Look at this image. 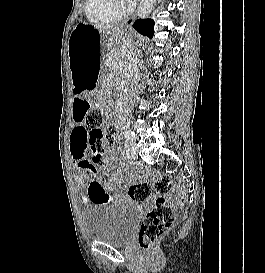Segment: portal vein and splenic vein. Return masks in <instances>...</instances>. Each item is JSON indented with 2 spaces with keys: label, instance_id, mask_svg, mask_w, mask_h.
<instances>
[{
  "label": "portal vein and splenic vein",
  "instance_id": "portal-vein-and-splenic-vein-1",
  "mask_svg": "<svg viewBox=\"0 0 265 273\" xmlns=\"http://www.w3.org/2000/svg\"><path fill=\"white\" fill-rule=\"evenodd\" d=\"M126 56H131V54H130V52H128L127 54H125V56L124 57H126Z\"/></svg>",
  "mask_w": 265,
  "mask_h": 273
}]
</instances>
